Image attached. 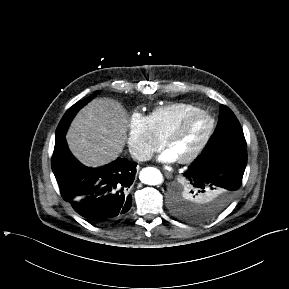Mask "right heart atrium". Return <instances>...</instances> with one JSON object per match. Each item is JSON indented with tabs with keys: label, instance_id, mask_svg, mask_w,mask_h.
<instances>
[{
	"label": "right heart atrium",
	"instance_id": "1",
	"mask_svg": "<svg viewBox=\"0 0 289 289\" xmlns=\"http://www.w3.org/2000/svg\"><path fill=\"white\" fill-rule=\"evenodd\" d=\"M162 145L155 134L149 117L133 112L127 124V146L131 156L137 161L148 160Z\"/></svg>",
	"mask_w": 289,
	"mask_h": 289
}]
</instances>
